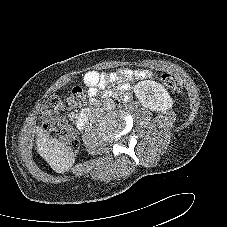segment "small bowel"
Returning <instances> with one entry per match:
<instances>
[{
	"label": "small bowel",
	"instance_id": "c3829d8e",
	"mask_svg": "<svg viewBox=\"0 0 227 227\" xmlns=\"http://www.w3.org/2000/svg\"><path fill=\"white\" fill-rule=\"evenodd\" d=\"M151 77H153V73L149 70L123 68L111 73H100L90 70L84 74L83 79L87 86V96L93 98L99 89L106 87L109 83L119 82V89L121 91H128L130 89V80L148 79Z\"/></svg>",
	"mask_w": 227,
	"mask_h": 227
}]
</instances>
